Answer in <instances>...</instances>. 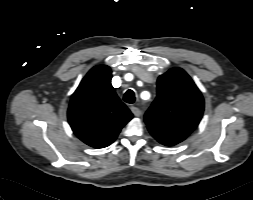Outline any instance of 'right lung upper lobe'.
I'll list each match as a JSON object with an SVG mask.
<instances>
[{"instance_id": "obj_1", "label": "right lung upper lobe", "mask_w": 253, "mask_h": 200, "mask_svg": "<svg viewBox=\"0 0 253 200\" xmlns=\"http://www.w3.org/2000/svg\"><path fill=\"white\" fill-rule=\"evenodd\" d=\"M106 65L92 68L71 97L68 121L75 135L94 148L109 146L133 114L111 85Z\"/></svg>"}]
</instances>
